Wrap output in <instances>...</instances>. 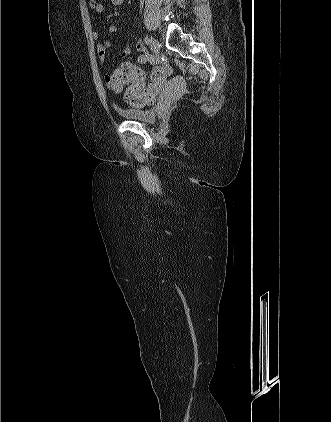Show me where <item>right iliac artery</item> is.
I'll return each instance as SVG.
<instances>
[{
    "label": "right iliac artery",
    "mask_w": 331,
    "mask_h": 422,
    "mask_svg": "<svg viewBox=\"0 0 331 422\" xmlns=\"http://www.w3.org/2000/svg\"><path fill=\"white\" fill-rule=\"evenodd\" d=\"M144 43H145L146 45H150V44H149V39H148V37H145V38H144Z\"/></svg>",
    "instance_id": "obj_1"
}]
</instances>
